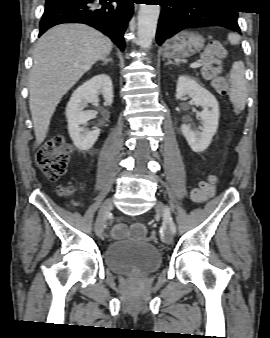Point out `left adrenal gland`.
<instances>
[{"instance_id":"a2214340","label":"left adrenal gland","mask_w":270,"mask_h":338,"mask_svg":"<svg viewBox=\"0 0 270 338\" xmlns=\"http://www.w3.org/2000/svg\"><path fill=\"white\" fill-rule=\"evenodd\" d=\"M169 64H175V63L172 62L171 60H168V62H166L165 65H169Z\"/></svg>"}]
</instances>
